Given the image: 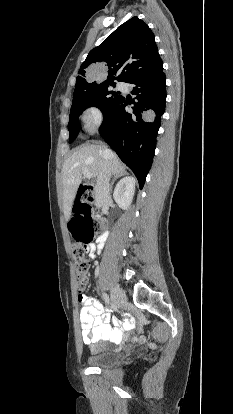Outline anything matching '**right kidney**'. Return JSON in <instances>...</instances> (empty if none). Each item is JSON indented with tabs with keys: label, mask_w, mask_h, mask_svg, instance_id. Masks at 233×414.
<instances>
[{
	"label": "right kidney",
	"mask_w": 233,
	"mask_h": 414,
	"mask_svg": "<svg viewBox=\"0 0 233 414\" xmlns=\"http://www.w3.org/2000/svg\"><path fill=\"white\" fill-rule=\"evenodd\" d=\"M134 193L135 179L131 176H126L116 185L113 198L121 209L127 210L132 203Z\"/></svg>",
	"instance_id": "right-kidney-1"
}]
</instances>
